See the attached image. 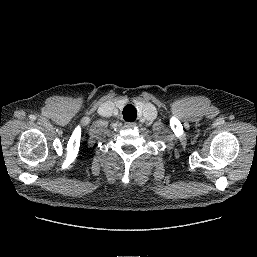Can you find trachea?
<instances>
[{
  "label": "trachea",
  "instance_id": "1",
  "mask_svg": "<svg viewBox=\"0 0 257 257\" xmlns=\"http://www.w3.org/2000/svg\"><path fill=\"white\" fill-rule=\"evenodd\" d=\"M136 117H137L136 108L131 104L126 105L123 109L124 120L132 122L136 119Z\"/></svg>",
  "mask_w": 257,
  "mask_h": 257
}]
</instances>
